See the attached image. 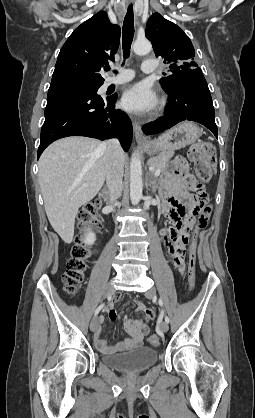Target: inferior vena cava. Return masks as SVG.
Wrapping results in <instances>:
<instances>
[{"instance_id": "inferior-vena-cava-1", "label": "inferior vena cava", "mask_w": 255, "mask_h": 418, "mask_svg": "<svg viewBox=\"0 0 255 418\" xmlns=\"http://www.w3.org/2000/svg\"><path fill=\"white\" fill-rule=\"evenodd\" d=\"M105 149L104 164L107 187L110 193V202L116 200L122 192L124 161L122 149L117 139H110L103 143Z\"/></svg>"}]
</instances>
